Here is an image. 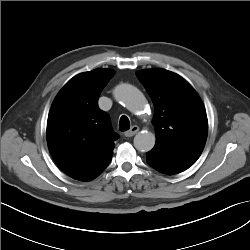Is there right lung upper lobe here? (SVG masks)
Segmentation results:
<instances>
[{
  "label": "right lung upper lobe",
  "instance_id": "1",
  "mask_svg": "<svg viewBox=\"0 0 250 250\" xmlns=\"http://www.w3.org/2000/svg\"><path fill=\"white\" fill-rule=\"evenodd\" d=\"M110 69L80 73L56 96L47 121V144L59 168L80 179L113 155L118 135L107 113L98 107L103 88L114 76Z\"/></svg>",
  "mask_w": 250,
  "mask_h": 250
}]
</instances>
